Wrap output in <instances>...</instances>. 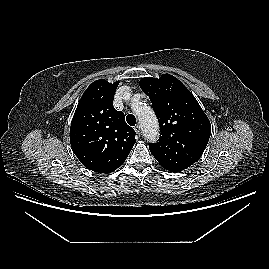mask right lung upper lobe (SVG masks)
Instances as JSON below:
<instances>
[{
    "label": "right lung upper lobe",
    "mask_w": 269,
    "mask_h": 269,
    "mask_svg": "<svg viewBox=\"0 0 269 269\" xmlns=\"http://www.w3.org/2000/svg\"><path fill=\"white\" fill-rule=\"evenodd\" d=\"M118 84L93 82L82 95L70 127L73 152L86 168L99 173L121 166L136 142L124 113L113 107Z\"/></svg>",
    "instance_id": "cb5924a9"
}]
</instances>
